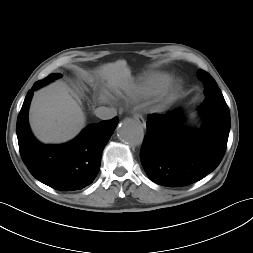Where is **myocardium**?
Segmentation results:
<instances>
[{
    "mask_svg": "<svg viewBox=\"0 0 253 253\" xmlns=\"http://www.w3.org/2000/svg\"><path fill=\"white\" fill-rule=\"evenodd\" d=\"M168 98H169V96H168V95H166V96H165V98H164V100L166 101Z\"/></svg>",
    "mask_w": 253,
    "mask_h": 253,
    "instance_id": "myocardium-1",
    "label": "myocardium"
}]
</instances>
